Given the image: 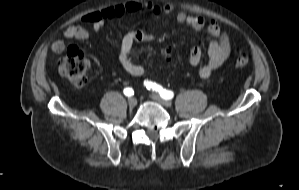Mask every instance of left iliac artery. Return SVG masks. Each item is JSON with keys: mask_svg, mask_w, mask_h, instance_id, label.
Segmentation results:
<instances>
[{"mask_svg": "<svg viewBox=\"0 0 299 190\" xmlns=\"http://www.w3.org/2000/svg\"><path fill=\"white\" fill-rule=\"evenodd\" d=\"M144 84L146 85V87L150 90L156 91L160 94V96L163 99H172L174 96V93L172 91L166 90L163 87H161L160 85L151 82V81H144Z\"/></svg>", "mask_w": 299, "mask_h": 190, "instance_id": "44dca946", "label": "left iliac artery"}]
</instances>
